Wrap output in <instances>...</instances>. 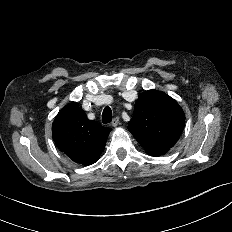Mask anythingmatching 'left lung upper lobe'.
<instances>
[{"label": "left lung upper lobe", "instance_id": "left-lung-upper-lobe-1", "mask_svg": "<svg viewBox=\"0 0 232 232\" xmlns=\"http://www.w3.org/2000/svg\"><path fill=\"white\" fill-rule=\"evenodd\" d=\"M184 124V112L173 98L148 90L139 94L128 129L146 151H153L173 147Z\"/></svg>", "mask_w": 232, "mask_h": 232}]
</instances>
